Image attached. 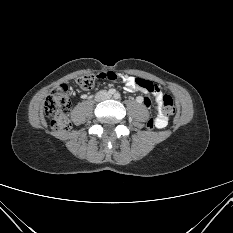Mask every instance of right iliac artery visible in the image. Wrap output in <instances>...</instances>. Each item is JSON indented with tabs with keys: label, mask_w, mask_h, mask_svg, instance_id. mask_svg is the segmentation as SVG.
<instances>
[{
	"label": "right iliac artery",
	"mask_w": 233,
	"mask_h": 233,
	"mask_svg": "<svg viewBox=\"0 0 233 233\" xmlns=\"http://www.w3.org/2000/svg\"><path fill=\"white\" fill-rule=\"evenodd\" d=\"M108 94H109V95L115 94V89H109Z\"/></svg>",
	"instance_id": "right-iliac-artery-1"
}]
</instances>
